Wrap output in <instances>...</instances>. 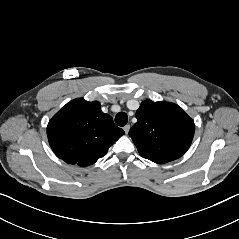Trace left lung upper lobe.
Here are the masks:
<instances>
[{"mask_svg":"<svg viewBox=\"0 0 239 239\" xmlns=\"http://www.w3.org/2000/svg\"><path fill=\"white\" fill-rule=\"evenodd\" d=\"M129 131L140 155L158 164L186 153L194 136L193 120L176 104L146 100Z\"/></svg>","mask_w":239,"mask_h":239,"instance_id":"left-lung-upper-lobe-1","label":"left lung upper lobe"}]
</instances>
